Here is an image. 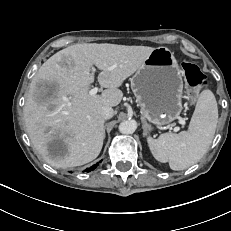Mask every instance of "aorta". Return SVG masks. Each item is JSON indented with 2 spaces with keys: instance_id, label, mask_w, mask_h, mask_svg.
Instances as JSON below:
<instances>
[{
  "instance_id": "1",
  "label": "aorta",
  "mask_w": 231,
  "mask_h": 231,
  "mask_svg": "<svg viewBox=\"0 0 231 231\" xmlns=\"http://www.w3.org/2000/svg\"><path fill=\"white\" fill-rule=\"evenodd\" d=\"M137 128V122L135 120H124L119 124V131L122 134H132Z\"/></svg>"
}]
</instances>
